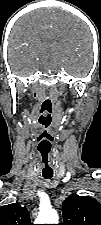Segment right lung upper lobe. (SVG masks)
<instances>
[{"label":"right lung upper lobe","mask_w":101,"mask_h":225,"mask_svg":"<svg viewBox=\"0 0 101 225\" xmlns=\"http://www.w3.org/2000/svg\"><path fill=\"white\" fill-rule=\"evenodd\" d=\"M0 225H32L29 212L18 204H9L0 208Z\"/></svg>","instance_id":"obj_1"}]
</instances>
